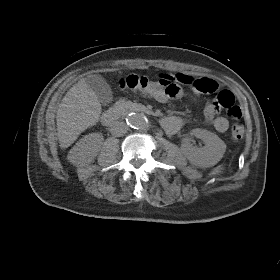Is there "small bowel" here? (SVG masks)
Wrapping results in <instances>:
<instances>
[{
	"instance_id": "1",
	"label": "small bowel",
	"mask_w": 280,
	"mask_h": 280,
	"mask_svg": "<svg viewBox=\"0 0 280 280\" xmlns=\"http://www.w3.org/2000/svg\"><path fill=\"white\" fill-rule=\"evenodd\" d=\"M177 78L179 79V82L181 85L187 86L194 94L201 95L204 94L199 90V88H203L206 83L212 82L215 83V85L218 88L217 82H215L212 79L208 78H194L191 75L178 73L176 74ZM204 115L207 121H209L212 126L215 128L218 132H226L229 128V122L226 118L218 116L215 117L212 113V103H208L204 110ZM162 127L164 130L170 134H176L185 124V121L183 118L178 116H168L164 118L161 122Z\"/></svg>"
}]
</instances>
